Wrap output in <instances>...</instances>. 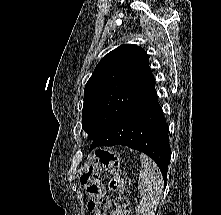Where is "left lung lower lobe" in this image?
<instances>
[{"label":"left lung lower lobe","instance_id":"1","mask_svg":"<svg viewBox=\"0 0 221 215\" xmlns=\"http://www.w3.org/2000/svg\"><path fill=\"white\" fill-rule=\"evenodd\" d=\"M168 140L167 125L154 86L93 140L90 151L114 145L139 150L156 162L166 183L171 157Z\"/></svg>","mask_w":221,"mask_h":215}]
</instances>
